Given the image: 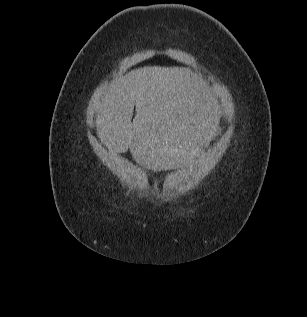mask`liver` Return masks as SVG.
I'll return each instance as SVG.
<instances>
[{"label":"liver","mask_w":307,"mask_h":317,"mask_svg":"<svg viewBox=\"0 0 307 317\" xmlns=\"http://www.w3.org/2000/svg\"><path fill=\"white\" fill-rule=\"evenodd\" d=\"M217 99L189 68L146 66L96 90L90 105L105 146L130 148L144 171L174 173L203 159L206 149L212 152L210 142H218L217 111L225 104Z\"/></svg>","instance_id":"obj_1"}]
</instances>
